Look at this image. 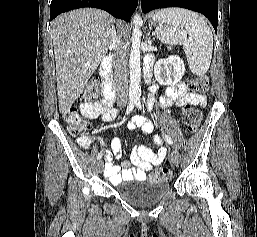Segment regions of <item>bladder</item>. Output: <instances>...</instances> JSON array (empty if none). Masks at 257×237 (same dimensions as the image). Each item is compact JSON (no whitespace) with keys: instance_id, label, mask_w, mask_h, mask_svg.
Instances as JSON below:
<instances>
[{"instance_id":"obj_1","label":"bladder","mask_w":257,"mask_h":237,"mask_svg":"<svg viewBox=\"0 0 257 237\" xmlns=\"http://www.w3.org/2000/svg\"><path fill=\"white\" fill-rule=\"evenodd\" d=\"M133 183L125 189H120L118 194L129 204L137 208H148L159 203L170 190L167 181L144 182V180H129Z\"/></svg>"}]
</instances>
